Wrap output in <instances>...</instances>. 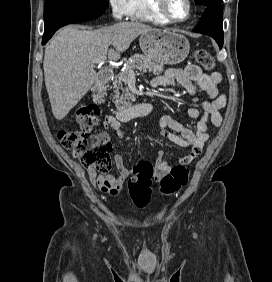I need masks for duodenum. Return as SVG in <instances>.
I'll return each instance as SVG.
<instances>
[{
  "instance_id": "duodenum-1",
  "label": "duodenum",
  "mask_w": 272,
  "mask_h": 282,
  "mask_svg": "<svg viewBox=\"0 0 272 282\" xmlns=\"http://www.w3.org/2000/svg\"><path fill=\"white\" fill-rule=\"evenodd\" d=\"M112 77V73L108 70L102 71L98 74L97 80L98 83L92 87V94L95 99H99L100 94L104 88V86L110 81ZM143 108L151 109L152 104L150 103H143ZM135 110L134 107L131 106L129 101H123L121 104L120 110L117 112L118 118H127L130 114Z\"/></svg>"
}]
</instances>
